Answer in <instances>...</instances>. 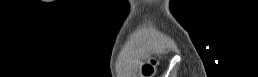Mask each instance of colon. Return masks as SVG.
Returning <instances> with one entry per match:
<instances>
[{"instance_id":"1","label":"colon","mask_w":258,"mask_h":77,"mask_svg":"<svg viewBox=\"0 0 258 77\" xmlns=\"http://www.w3.org/2000/svg\"><path fill=\"white\" fill-rule=\"evenodd\" d=\"M157 59H152L149 63L145 64L142 69V73L144 77H150L155 72V67L157 66Z\"/></svg>"}]
</instances>
